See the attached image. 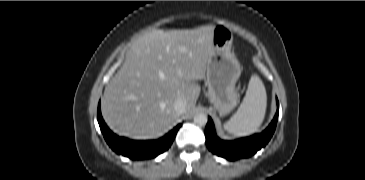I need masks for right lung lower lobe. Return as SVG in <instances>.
<instances>
[{
    "instance_id": "1",
    "label": "right lung lower lobe",
    "mask_w": 365,
    "mask_h": 180,
    "mask_svg": "<svg viewBox=\"0 0 365 180\" xmlns=\"http://www.w3.org/2000/svg\"><path fill=\"white\" fill-rule=\"evenodd\" d=\"M97 119L102 134L108 145L117 154H121L133 160L154 158L166 151L172 144L181 124L177 125L168 134L158 140L135 141L114 134L105 124L98 104Z\"/></svg>"
}]
</instances>
